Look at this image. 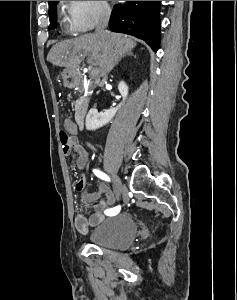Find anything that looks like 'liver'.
<instances>
[{"label":"liver","mask_w":237,"mask_h":300,"mask_svg":"<svg viewBox=\"0 0 237 300\" xmlns=\"http://www.w3.org/2000/svg\"><path fill=\"white\" fill-rule=\"evenodd\" d=\"M135 45L131 37L127 39V35L104 31V35L99 37L96 33H89L53 45L47 61L57 67H66L69 71H74L86 55H90L89 63L99 65L100 75H106L117 65L120 57H124Z\"/></svg>","instance_id":"1"}]
</instances>
